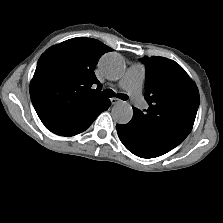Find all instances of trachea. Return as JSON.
<instances>
[{"label": "trachea", "instance_id": "trachea-1", "mask_svg": "<svg viewBox=\"0 0 223 223\" xmlns=\"http://www.w3.org/2000/svg\"><path fill=\"white\" fill-rule=\"evenodd\" d=\"M102 96L108 97V98L116 96V97H118L122 100H127L128 99V96L126 94H116L115 95V93L111 89L104 90L102 92Z\"/></svg>", "mask_w": 223, "mask_h": 223}]
</instances>
